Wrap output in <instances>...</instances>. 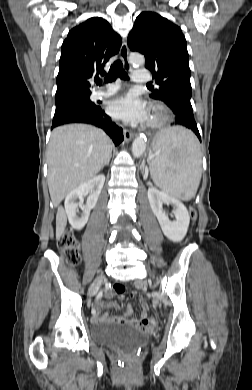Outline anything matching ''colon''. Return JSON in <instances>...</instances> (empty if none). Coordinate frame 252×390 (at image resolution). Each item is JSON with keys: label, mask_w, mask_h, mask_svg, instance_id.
Masks as SVG:
<instances>
[{"label": "colon", "mask_w": 252, "mask_h": 390, "mask_svg": "<svg viewBox=\"0 0 252 390\" xmlns=\"http://www.w3.org/2000/svg\"><path fill=\"white\" fill-rule=\"evenodd\" d=\"M190 215L193 219L196 218L197 214L195 209H190ZM58 246L66 263L75 265L79 262V243L72 231L69 230L62 236L59 240ZM113 290L118 295H124L126 288L121 284H115ZM130 295L133 298L137 297V293L135 291H132Z\"/></svg>", "instance_id": "5ec220e1"}]
</instances>
